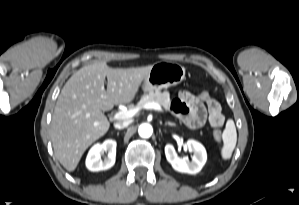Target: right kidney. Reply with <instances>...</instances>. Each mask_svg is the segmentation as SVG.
I'll return each mask as SVG.
<instances>
[{
    "mask_svg": "<svg viewBox=\"0 0 299 205\" xmlns=\"http://www.w3.org/2000/svg\"><path fill=\"white\" fill-rule=\"evenodd\" d=\"M116 141L105 140L102 144H95L89 151L86 158V167L93 172L107 170L115 163ZM108 152L104 160L101 157Z\"/></svg>",
    "mask_w": 299,
    "mask_h": 205,
    "instance_id": "obj_1",
    "label": "right kidney"
}]
</instances>
